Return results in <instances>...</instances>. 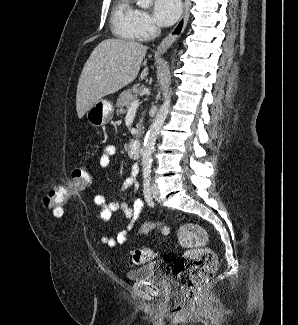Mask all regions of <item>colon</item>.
Instances as JSON below:
<instances>
[{
  "instance_id": "5ec220e1",
  "label": "colon",
  "mask_w": 298,
  "mask_h": 325,
  "mask_svg": "<svg viewBox=\"0 0 298 325\" xmlns=\"http://www.w3.org/2000/svg\"><path fill=\"white\" fill-rule=\"evenodd\" d=\"M90 178L89 168L82 164L78 165L72 170L71 183L68 186L53 188L45 194L44 206L61 216L68 198L75 191L85 188ZM154 228L160 229L164 234L170 233L168 226L162 222H147L141 226L139 231L145 233ZM178 241L186 249L177 268L178 282L182 294L188 299H193L215 274L217 260L213 251L208 247L206 231L197 224L183 225L178 231ZM153 257L152 250L141 247L132 251L130 260L133 264H142Z\"/></svg>"
}]
</instances>
